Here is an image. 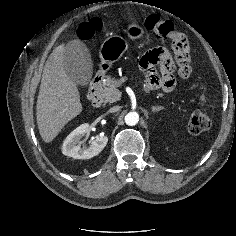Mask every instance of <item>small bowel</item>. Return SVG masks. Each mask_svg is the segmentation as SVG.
I'll list each match as a JSON object with an SVG mask.
<instances>
[{
  "label": "small bowel",
  "mask_w": 236,
  "mask_h": 236,
  "mask_svg": "<svg viewBox=\"0 0 236 236\" xmlns=\"http://www.w3.org/2000/svg\"><path fill=\"white\" fill-rule=\"evenodd\" d=\"M188 55L182 58L175 55L173 59L170 52L164 47H157L147 52L140 60V68L146 75V89H161L170 92L176 85L175 71L182 79H186L191 74L190 67V47Z\"/></svg>",
  "instance_id": "small-bowel-1"
}]
</instances>
